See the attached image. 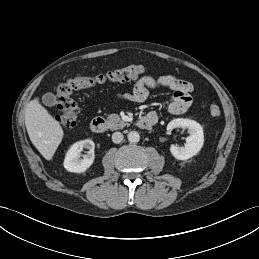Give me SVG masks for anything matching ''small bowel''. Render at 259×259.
<instances>
[{"label":"small bowel","instance_id":"c3829d8e","mask_svg":"<svg viewBox=\"0 0 259 259\" xmlns=\"http://www.w3.org/2000/svg\"><path fill=\"white\" fill-rule=\"evenodd\" d=\"M158 88L173 91V99L168 104V111L170 113L182 114L191 106L192 84L173 75H163L160 77L144 76L136 82L132 92L122 94L119 97L136 103H143L147 99L149 92ZM148 116L158 117L155 111L148 113Z\"/></svg>","mask_w":259,"mask_h":259}]
</instances>
